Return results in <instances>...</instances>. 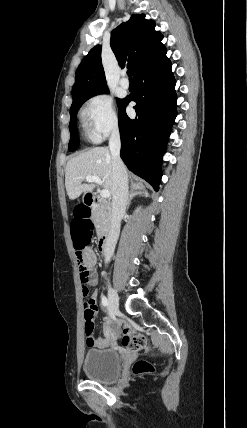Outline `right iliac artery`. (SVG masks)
Segmentation results:
<instances>
[{
  "label": "right iliac artery",
  "instance_id": "1",
  "mask_svg": "<svg viewBox=\"0 0 247 428\" xmlns=\"http://www.w3.org/2000/svg\"><path fill=\"white\" fill-rule=\"evenodd\" d=\"M102 305L104 307H108V305H109V302L105 296H102Z\"/></svg>",
  "mask_w": 247,
  "mask_h": 428
}]
</instances>
